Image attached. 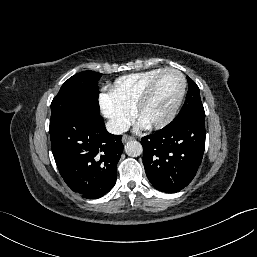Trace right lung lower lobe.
<instances>
[{
	"mask_svg": "<svg viewBox=\"0 0 257 257\" xmlns=\"http://www.w3.org/2000/svg\"><path fill=\"white\" fill-rule=\"evenodd\" d=\"M50 138L56 165L72 191L97 199L112 189L122 136L110 134L100 115L71 113L50 126Z\"/></svg>",
	"mask_w": 257,
	"mask_h": 257,
	"instance_id": "obj_1",
	"label": "right lung lower lobe"
}]
</instances>
